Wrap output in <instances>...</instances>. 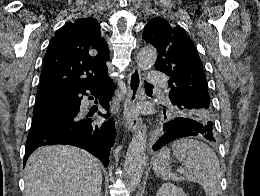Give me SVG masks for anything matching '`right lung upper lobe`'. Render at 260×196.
<instances>
[{
	"mask_svg": "<svg viewBox=\"0 0 260 196\" xmlns=\"http://www.w3.org/2000/svg\"><path fill=\"white\" fill-rule=\"evenodd\" d=\"M109 49L93 17L64 25L44 56L35 108L109 79Z\"/></svg>",
	"mask_w": 260,
	"mask_h": 196,
	"instance_id": "right-lung-upper-lobe-1",
	"label": "right lung upper lobe"
}]
</instances>
